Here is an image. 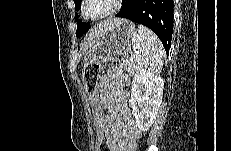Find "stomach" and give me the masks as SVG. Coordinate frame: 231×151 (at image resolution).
<instances>
[{
  "mask_svg": "<svg viewBox=\"0 0 231 151\" xmlns=\"http://www.w3.org/2000/svg\"><path fill=\"white\" fill-rule=\"evenodd\" d=\"M134 24L128 20L112 24L84 57V64L96 65L126 59L132 48Z\"/></svg>",
  "mask_w": 231,
  "mask_h": 151,
  "instance_id": "stomach-1",
  "label": "stomach"
}]
</instances>
